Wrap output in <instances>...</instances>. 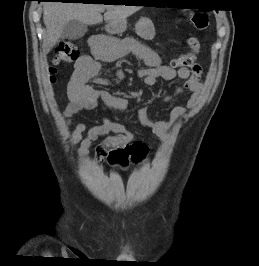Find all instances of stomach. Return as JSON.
Returning a JSON list of instances; mask_svg holds the SVG:
<instances>
[{
    "label": "stomach",
    "instance_id": "stomach-1",
    "mask_svg": "<svg viewBox=\"0 0 259 266\" xmlns=\"http://www.w3.org/2000/svg\"><path fill=\"white\" fill-rule=\"evenodd\" d=\"M126 27V20L118 21L108 27V32L112 34H119L124 32ZM136 33L143 39H152L155 36V29L153 23L149 19H141L136 24Z\"/></svg>",
    "mask_w": 259,
    "mask_h": 266
}]
</instances>
